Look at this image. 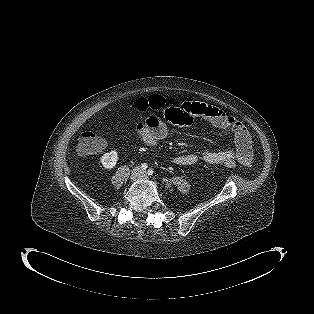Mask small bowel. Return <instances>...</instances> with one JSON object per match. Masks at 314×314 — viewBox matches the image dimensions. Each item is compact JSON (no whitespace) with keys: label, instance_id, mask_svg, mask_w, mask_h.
<instances>
[{"label":"small bowel","instance_id":"small-bowel-1","mask_svg":"<svg viewBox=\"0 0 314 314\" xmlns=\"http://www.w3.org/2000/svg\"><path fill=\"white\" fill-rule=\"evenodd\" d=\"M161 118L171 125L192 126L203 121L211 126L231 132L234 136L235 149L225 151H205L200 155L187 153L174 158V163L181 166H192L199 160L209 164H222L225 159H236L243 166L252 163L253 150L250 135L245 126L235 117L221 109L200 102L166 104L161 109ZM159 117L137 125V134L147 146H154L167 135L166 125ZM103 146L100 150H102Z\"/></svg>","mask_w":314,"mask_h":314}]
</instances>
